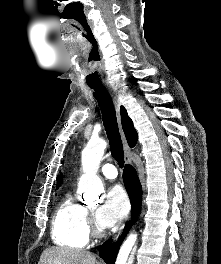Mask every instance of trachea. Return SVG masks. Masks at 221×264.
Segmentation results:
<instances>
[{
    "mask_svg": "<svg viewBox=\"0 0 221 264\" xmlns=\"http://www.w3.org/2000/svg\"><path fill=\"white\" fill-rule=\"evenodd\" d=\"M102 113V120L107 137L109 139L112 157L122 168L124 166V151L121 136L118 129L115 109L109 93L102 85H90Z\"/></svg>",
    "mask_w": 221,
    "mask_h": 264,
    "instance_id": "3493384b",
    "label": "trachea"
}]
</instances>
